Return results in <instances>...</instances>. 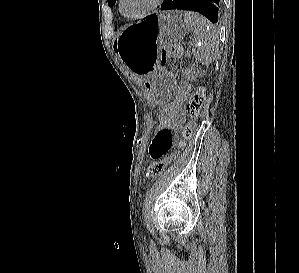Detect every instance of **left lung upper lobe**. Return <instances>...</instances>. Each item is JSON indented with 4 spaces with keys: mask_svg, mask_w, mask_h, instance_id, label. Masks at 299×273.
Masks as SVG:
<instances>
[{
    "mask_svg": "<svg viewBox=\"0 0 299 273\" xmlns=\"http://www.w3.org/2000/svg\"><path fill=\"white\" fill-rule=\"evenodd\" d=\"M109 6H113L117 0H107Z\"/></svg>",
    "mask_w": 299,
    "mask_h": 273,
    "instance_id": "5c2ea615",
    "label": "left lung upper lobe"
}]
</instances>
